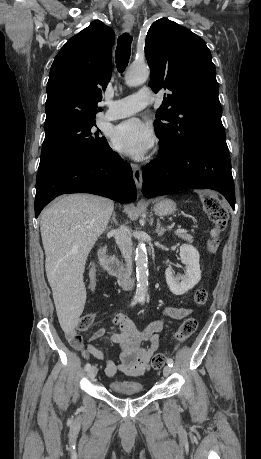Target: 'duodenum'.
Masks as SVG:
<instances>
[{"instance_id":"obj_1","label":"duodenum","mask_w":261,"mask_h":459,"mask_svg":"<svg viewBox=\"0 0 261 459\" xmlns=\"http://www.w3.org/2000/svg\"><path fill=\"white\" fill-rule=\"evenodd\" d=\"M100 256L111 276L121 280L125 284L133 282V278L130 276L127 269L123 266L120 260L110 252L107 246H103L100 249Z\"/></svg>"}]
</instances>
